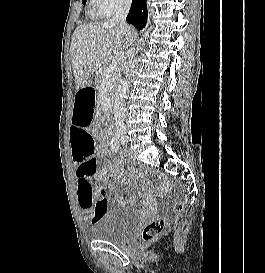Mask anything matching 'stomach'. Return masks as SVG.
<instances>
[{
  "instance_id": "0dacf381",
  "label": "stomach",
  "mask_w": 265,
  "mask_h": 273,
  "mask_svg": "<svg viewBox=\"0 0 265 273\" xmlns=\"http://www.w3.org/2000/svg\"><path fill=\"white\" fill-rule=\"evenodd\" d=\"M94 85L90 84V85H79L78 89L79 90H94Z\"/></svg>"
}]
</instances>
